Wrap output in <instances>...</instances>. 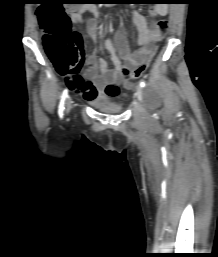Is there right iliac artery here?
<instances>
[{
	"instance_id": "obj_1",
	"label": "right iliac artery",
	"mask_w": 218,
	"mask_h": 257,
	"mask_svg": "<svg viewBox=\"0 0 218 257\" xmlns=\"http://www.w3.org/2000/svg\"><path fill=\"white\" fill-rule=\"evenodd\" d=\"M67 94H68V90L64 89V91L62 93V96H61V101H60V104H59V109H58V114H59L60 118H62L63 115H64V101H65V98L67 97Z\"/></svg>"
}]
</instances>
